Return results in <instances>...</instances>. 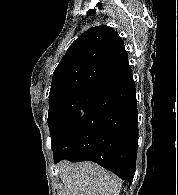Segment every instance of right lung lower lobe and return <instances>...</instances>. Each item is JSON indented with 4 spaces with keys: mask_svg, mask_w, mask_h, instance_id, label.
I'll use <instances>...</instances> for the list:
<instances>
[{
    "mask_svg": "<svg viewBox=\"0 0 178 195\" xmlns=\"http://www.w3.org/2000/svg\"><path fill=\"white\" fill-rule=\"evenodd\" d=\"M137 123L136 90L130 77L97 93L54 150V163L93 161L131 183L136 170Z\"/></svg>",
    "mask_w": 178,
    "mask_h": 195,
    "instance_id": "98d812e1",
    "label": "right lung lower lobe"
}]
</instances>
